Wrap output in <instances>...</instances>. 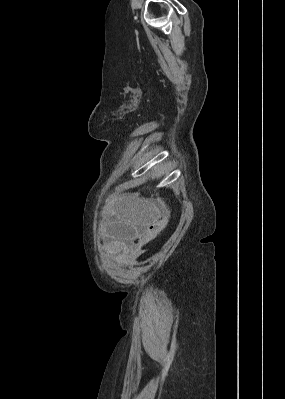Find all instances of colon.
<instances>
[{
    "instance_id": "1",
    "label": "colon",
    "mask_w": 285,
    "mask_h": 399,
    "mask_svg": "<svg viewBox=\"0 0 285 399\" xmlns=\"http://www.w3.org/2000/svg\"><path fill=\"white\" fill-rule=\"evenodd\" d=\"M166 222H167V217L166 216H163L162 218H160L155 223L154 231H153L151 237L149 239L145 240L143 243L147 244L156 235L157 232H159L161 229H163V227L165 226Z\"/></svg>"
}]
</instances>
